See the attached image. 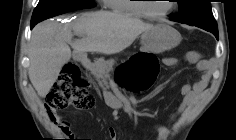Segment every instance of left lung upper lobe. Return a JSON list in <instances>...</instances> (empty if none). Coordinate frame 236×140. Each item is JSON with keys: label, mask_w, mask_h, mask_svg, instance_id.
<instances>
[{"label": "left lung upper lobe", "mask_w": 236, "mask_h": 140, "mask_svg": "<svg viewBox=\"0 0 236 140\" xmlns=\"http://www.w3.org/2000/svg\"><path fill=\"white\" fill-rule=\"evenodd\" d=\"M177 2L179 16L170 15L172 21L202 28L213 33L218 39L217 23L212 14L210 0H177Z\"/></svg>", "instance_id": "left-lung-upper-lobe-1"}]
</instances>
